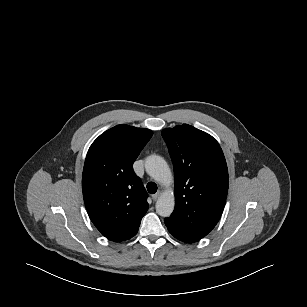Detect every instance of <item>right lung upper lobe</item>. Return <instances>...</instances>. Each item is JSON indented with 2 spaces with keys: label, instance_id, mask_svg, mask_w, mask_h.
Returning <instances> with one entry per match:
<instances>
[{
  "label": "right lung upper lobe",
  "instance_id": "obj_1",
  "mask_svg": "<svg viewBox=\"0 0 307 307\" xmlns=\"http://www.w3.org/2000/svg\"><path fill=\"white\" fill-rule=\"evenodd\" d=\"M152 135L149 129L117 125L88 150L82 175L85 206L96 228L112 241L135 236L148 210L147 192L132 165Z\"/></svg>",
  "mask_w": 307,
  "mask_h": 307
}]
</instances>
